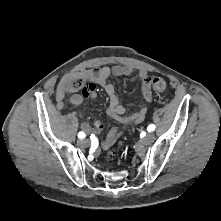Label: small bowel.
Segmentation results:
<instances>
[{"label": "small bowel", "mask_w": 221, "mask_h": 221, "mask_svg": "<svg viewBox=\"0 0 221 221\" xmlns=\"http://www.w3.org/2000/svg\"><path fill=\"white\" fill-rule=\"evenodd\" d=\"M80 77L85 78L89 83L83 85L81 95H74L71 97L70 102L75 107H81L83 99L95 98L97 96L96 90L98 85L103 87L108 100L109 106L107 113L110 117L116 121L125 125H134L142 122L146 116L147 108L143 106L132 114H126V108L120 103L116 89L113 84L108 83L107 80L111 76H132L133 69L130 66H103L95 69H87L77 74ZM72 78V76L64 77L57 90L56 100L59 108L63 106L65 98V85ZM139 78L141 80V90L145 102L149 103L152 100L151 93V78L145 71H140ZM82 129L87 132L95 134L100 133L103 130L101 121L96 120L90 125L87 122H83ZM122 131L117 128H112L106 135L102 145L105 148L112 146L116 140L120 137Z\"/></svg>", "instance_id": "c3829d8e"}]
</instances>
